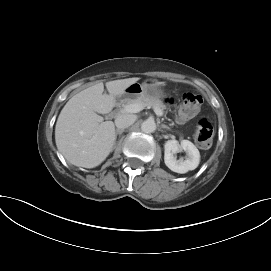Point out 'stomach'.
<instances>
[{
    "instance_id": "obj_1",
    "label": "stomach",
    "mask_w": 271,
    "mask_h": 271,
    "mask_svg": "<svg viewBox=\"0 0 271 271\" xmlns=\"http://www.w3.org/2000/svg\"><path fill=\"white\" fill-rule=\"evenodd\" d=\"M163 83L157 79H147L143 83H133L127 87L123 93L124 99H135L140 96L161 98L164 95L162 90Z\"/></svg>"
}]
</instances>
